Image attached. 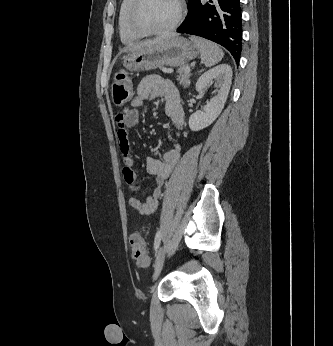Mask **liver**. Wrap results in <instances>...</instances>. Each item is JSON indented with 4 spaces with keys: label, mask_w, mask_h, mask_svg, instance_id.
Here are the masks:
<instances>
[{
    "label": "liver",
    "mask_w": 333,
    "mask_h": 346,
    "mask_svg": "<svg viewBox=\"0 0 333 346\" xmlns=\"http://www.w3.org/2000/svg\"><path fill=\"white\" fill-rule=\"evenodd\" d=\"M176 36L177 35L172 34V35H168V36L157 37V38H154V39H151V40H146V41L138 43V44L130 45L127 48H125L123 51H132V50L144 47V46L161 43V42H163L166 39L173 38V37H176Z\"/></svg>",
    "instance_id": "6515ba94"
}]
</instances>
